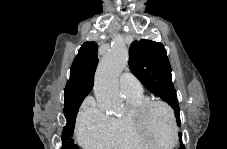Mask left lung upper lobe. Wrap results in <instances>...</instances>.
I'll list each match as a JSON object with an SVG mask.
<instances>
[{"label": "left lung upper lobe", "mask_w": 227, "mask_h": 149, "mask_svg": "<svg viewBox=\"0 0 227 149\" xmlns=\"http://www.w3.org/2000/svg\"><path fill=\"white\" fill-rule=\"evenodd\" d=\"M129 56V67L132 73L149 91L172 106L180 125L178 99L164 46L159 42L145 39L133 41L130 45ZM179 136L182 137L181 134Z\"/></svg>", "instance_id": "obj_1"}]
</instances>
